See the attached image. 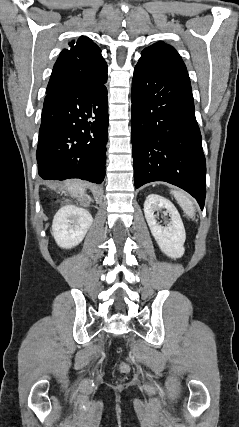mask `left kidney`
Returning a JSON list of instances; mask_svg holds the SVG:
<instances>
[{
    "label": "left kidney",
    "instance_id": "obj_1",
    "mask_svg": "<svg viewBox=\"0 0 239 427\" xmlns=\"http://www.w3.org/2000/svg\"><path fill=\"white\" fill-rule=\"evenodd\" d=\"M166 209L171 221L161 226L154 212ZM144 214L153 237L159 245L161 251L171 258H180L184 252V242L186 239L185 229L179 212L175 206L167 199L156 194H150L144 202Z\"/></svg>",
    "mask_w": 239,
    "mask_h": 427
}]
</instances>
